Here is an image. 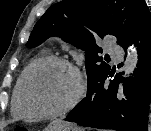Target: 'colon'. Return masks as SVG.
Instances as JSON below:
<instances>
[{"label":"colon","instance_id":"1","mask_svg":"<svg viewBox=\"0 0 151 131\" xmlns=\"http://www.w3.org/2000/svg\"><path fill=\"white\" fill-rule=\"evenodd\" d=\"M14 131H30V130L26 127L18 126L14 129Z\"/></svg>","mask_w":151,"mask_h":131}]
</instances>
